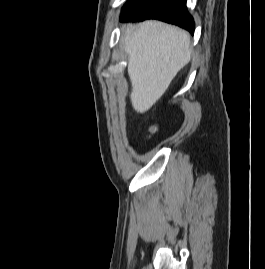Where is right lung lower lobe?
Here are the masks:
<instances>
[{"instance_id": "98d812e1", "label": "right lung lower lobe", "mask_w": 265, "mask_h": 269, "mask_svg": "<svg viewBox=\"0 0 265 269\" xmlns=\"http://www.w3.org/2000/svg\"><path fill=\"white\" fill-rule=\"evenodd\" d=\"M145 19H158L194 33L195 23L187 11L185 0H128L122 9L120 20Z\"/></svg>"}]
</instances>
